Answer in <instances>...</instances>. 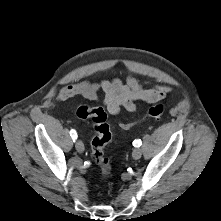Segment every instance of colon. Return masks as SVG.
<instances>
[{
    "mask_svg": "<svg viewBox=\"0 0 221 221\" xmlns=\"http://www.w3.org/2000/svg\"><path fill=\"white\" fill-rule=\"evenodd\" d=\"M165 110L164 104L151 106L143 115L142 120L158 119L164 115ZM76 115L80 119H90L92 121L95 135L91 142V157L99 166L102 178H109L111 176V165L104 155V147L111 141L112 133L106 111L101 107L82 105L77 109ZM134 124V122H122L119 125L122 129H129Z\"/></svg>",
    "mask_w": 221,
    "mask_h": 221,
    "instance_id": "colon-1",
    "label": "colon"
}]
</instances>
